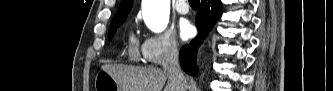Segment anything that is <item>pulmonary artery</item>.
<instances>
[{"mask_svg":"<svg viewBox=\"0 0 333 91\" xmlns=\"http://www.w3.org/2000/svg\"><path fill=\"white\" fill-rule=\"evenodd\" d=\"M175 9L179 14H182V15H185L189 12V7L185 0L176 1Z\"/></svg>","mask_w":333,"mask_h":91,"instance_id":"e3ab8cb5","label":"pulmonary artery"}]
</instances>
